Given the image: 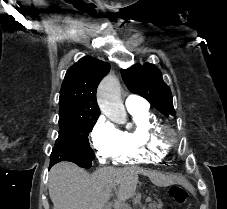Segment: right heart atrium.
<instances>
[{
  "instance_id": "1",
  "label": "right heart atrium",
  "mask_w": 227,
  "mask_h": 209,
  "mask_svg": "<svg viewBox=\"0 0 227 209\" xmlns=\"http://www.w3.org/2000/svg\"><path fill=\"white\" fill-rule=\"evenodd\" d=\"M121 139L120 130L104 117H101L91 132L92 144L97 158L104 162L113 157Z\"/></svg>"
}]
</instances>
